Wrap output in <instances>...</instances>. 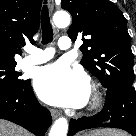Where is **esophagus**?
Wrapping results in <instances>:
<instances>
[{
	"mask_svg": "<svg viewBox=\"0 0 136 136\" xmlns=\"http://www.w3.org/2000/svg\"><path fill=\"white\" fill-rule=\"evenodd\" d=\"M48 1V8L49 11L52 13L53 9H54V0H47ZM59 112L55 109H51V116L53 119H56L59 116Z\"/></svg>",
	"mask_w": 136,
	"mask_h": 136,
	"instance_id": "1",
	"label": "esophagus"
}]
</instances>
